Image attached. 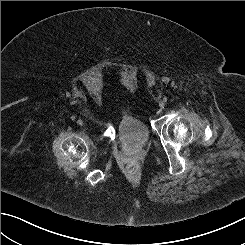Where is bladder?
<instances>
[{
  "label": "bladder",
  "instance_id": "31cf9c89",
  "mask_svg": "<svg viewBox=\"0 0 245 245\" xmlns=\"http://www.w3.org/2000/svg\"><path fill=\"white\" fill-rule=\"evenodd\" d=\"M118 132L124 142L133 148L144 146L150 140L148 126L137 117H123L119 122Z\"/></svg>",
  "mask_w": 245,
  "mask_h": 245
}]
</instances>
